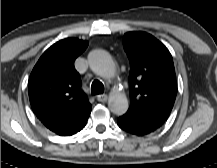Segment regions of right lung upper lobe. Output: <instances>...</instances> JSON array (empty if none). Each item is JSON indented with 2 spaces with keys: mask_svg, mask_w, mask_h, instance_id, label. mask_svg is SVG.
I'll return each mask as SVG.
<instances>
[{
  "mask_svg": "<svg viewBox=\"0 0 217 168\" xmlns=\"http://www.w3.org/2000/svg\"><path fill=\"white\" fill-rule=\"evenodd\" d=\"M87 46V41L76 38L56 42L40 57L28 81L34 113L60 136L80 131L91 112V104L81 89L80 74L74 67L75 59Z\"/></svg>",
  "mask_w": 217,
  "mask_h": 168,
  "instance_id": "1",
  "label": "right lung upper lobe"
}]
</instances>
